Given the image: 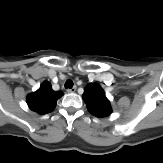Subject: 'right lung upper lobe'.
<instances>
[{
	"instance_id": "cb5924a9",
	"label": "right lung upper lobe",
	"mask_w": 163,
	"mask_h": 163,
	"mask_svg": "<svg viewBox=\"0 0 163 163\" xmlns=\"http://www.w3.org/2000/svg\"><path fill=\"white\" fill-rule=\"evenodd\" d=\"M61 96H63L62 91H54L51 84L45 81L36 92L28 95L27 104L31 110L47 114L55 109L56 102Z\"/></svg>"
}]
</instances>
